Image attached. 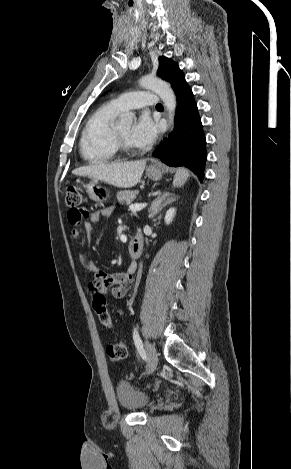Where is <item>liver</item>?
Segmentation results:
<instances>
[{
    "mask_svg": "<svg viewBox=\"0 0 291 469\" xmlns=\"http://www.w3.org/2000/svg\"><path fill=\"white\" fill-rule=\"evenodd\" d=\"M145 166L146 160L111 164L97 163L76 168L72 173L78 176H87L95 180H102L119 188H130L140 181Z\"/></svg>",
    "mask_w": 291,
    "mask_h": 469,
    "instance_id": "liver-1",
    "label": "liver"
}]
</instances>
